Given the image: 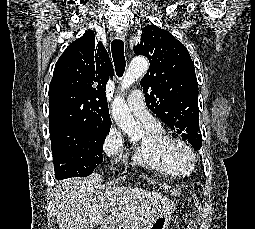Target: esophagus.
Masks as SVG:
<instances>
[{
	"label": "esophagus",
	"mask_w": 255,
	"mask_h": 229,
	"mask_svg": "<svg viewBox=\"0 0 255 229\" xmlns=\"http://www.w3.org/2000/svg\"><path fill=\"white\" fill-rule=\"evenodd\" d=\"M125 32L123 30H120L117 34H116V38L121 39V40H125Z\"/></svg>",
	"instance_id": "obj_1"
}]
</instances>
